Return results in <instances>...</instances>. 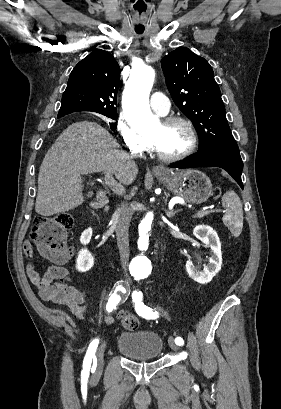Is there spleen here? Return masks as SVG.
Segmentation results:
<instances>
[{"label":"spleen","instance_id":"3e777b00","mask_svg":"<svg viewBox=\"0 0 281 409\" xmlns=\"http://www.w3.org/2000/svg\"><path fill=\"white\" fill-rule=\"evenodd\" d=\"M222 205L226 211L222 217L224 225L233 237H239L243 229V209L238 194L234 190H227L222 196Z\"/></svg>","mask_w":281,"mask_h":409}]
</instances>
